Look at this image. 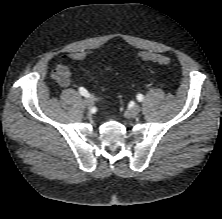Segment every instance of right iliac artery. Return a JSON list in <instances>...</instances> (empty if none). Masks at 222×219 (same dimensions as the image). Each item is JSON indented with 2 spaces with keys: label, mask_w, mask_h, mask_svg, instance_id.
<instances>
[{
  "label": "right iliac artery",
  "mask_w": 222,
  "mask_h": 219,
  "mask_svg": "<svg viewBox=\"0 0 222 219\" xmlns=\"http://www.w3.org/2000/svg\"><path fill=\"white\" fill-rule=\"evenodd\" d=\"M79 93H80L82 96L90 97V94L88 93V91H87L84 87H80V88H79Z\"/></svg>",
  "instance_id": "82829eb1"
}]
</instances>
